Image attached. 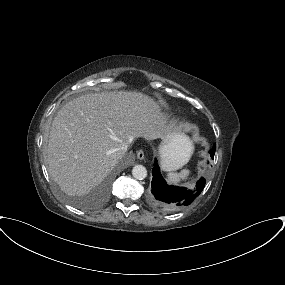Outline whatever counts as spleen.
<instances>
[{
    "label": "spleen",
    "instance_id": "1",
    "mask_svg": "<svg viewBox=\"0 0 285 285\" xmlns=\"http://www.w3.org/2000/svg\"><path fill=\"white\" fill-rule=\"evenodd\" d=\"M190 174L188 169L182 170L180 173L170 172L167 174V181L170 184H178L181 180L186 179Z\"/></svg>",
    "mask_w": 285,
    "mask_h": 285
}]
</instances>
